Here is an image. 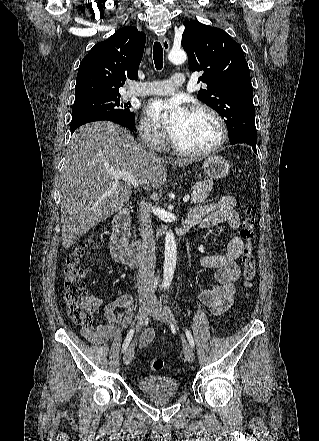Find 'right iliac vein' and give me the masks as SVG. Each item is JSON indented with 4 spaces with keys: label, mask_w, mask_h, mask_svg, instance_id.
Listing matches in <instances>:
<instances>
[{
    "label": "right iliac vein",
    "mask_w": 319,
    "mask_h": 441,
    "mask_svg": "<svg viewBox=\"0 0 319 441\" xmlns=\"http://www.w3.org/2000/svg\"><path fill=\"white\" fill-rule=\"evenodd\" d=\"M150 306H151L150 300L146 299V300H143L140 302L139 310H138V314H137V330L143 324V321L145 320V318L148 314ZM134 353H135V346H134V344H131L128 347V349L126 350L124 357H123V362L125 365L130 364V362L133 360Z\"/></svg>",
    "instance_id": "right-iliac-vein-1"
}]
</instances>
